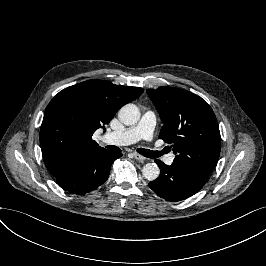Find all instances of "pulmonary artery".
<instances>
[{"label": "pulmonary artery", "instance_id": "1", "mask_svg": "<svg viewBox=\"0 0 266 266\" xmlns=\"http://www.w3.org/2000/svg\"><path fill=\"white\" fill-rule=\"evenodd\" d=\"M153 120V114L149 111H146L142 114L140 122L137 125L125 128L122 131L108 132L105 135V141H112L115 144H130L133 141L139 142L143 138L150 140L152 139L154 130V128L151 129ZM174 157L175 155L173 153L169 154L165 159V163L168 165L172 164Z\"/></svg>", "mask_w": 266, "mask_h": 266}]
</instances>
